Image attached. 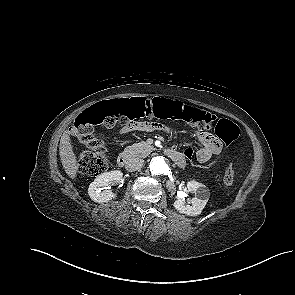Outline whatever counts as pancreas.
<instances>
[{"label": "pancreas", "mask_w": 295, "mask_h": 295, "mask_svg": "<svg viewBox=\"0 0 295 295\" xmlns=\"http://www.w3.org/2000/svg\"><path fill=\"white\" fill-rule=\"evenodd\" d=\"M154 147L149 145L148 143L142 141L140 143H135L131 146H128L124 149V153L128 154L130 157H146L152 151Z\"/></svg>", "instance_id": "cf45deb5"}]
</instances>
